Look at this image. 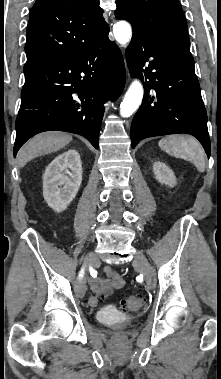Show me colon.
<instances>
[{
	"mask_svg": "<svg viewBox=\"0 0 221 379\" xmlns=\"http://www.w3.org/2000/svg\"><path fill=\"white\" fill-rule=\"evenodd\" d=\"M143 301L144 299L140 295H130L122 300L121 306L124 310L134 311L142 306Z\"/></svg>",
	"mask_w": 221,
	"mask_h": 379,
	"instance_id": "colon-1",
	"label": "colon"
}]
</instances>
